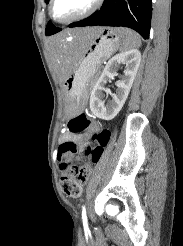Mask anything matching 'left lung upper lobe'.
Here are the masks:
<instances>
[{
	"label": "left lung upper lobe",
	"instance_id": "obj_1",
	"mask_svg": "<svg viewBox=\"0 0 183 246\" xmlns=\"http://www.w3.org/2000/svg\"><path fill=\"white\" fill-rule=\"evenodd\" d=\"M45 2L48 3L49 0H45ZM60 30H61V28L55 27V26L49 21L48 24H47V27H46L45 34H46V35H52V34H55V33L59 32Z\"/></svg>",
	"mask_w": 183,
	"mask_h": 246
}]
</instances>
